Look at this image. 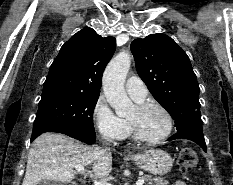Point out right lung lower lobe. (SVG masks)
<instances>
[{"mask_svg": "<svg viewBox=\"0 0 233 185\" xmlns=\"http://www.w3.org/2000/svg\"><path fill=\"white\" fill-rule=\"evenodd\" d=\"M68 136L78 139L84 143L92 144L96 141V136L85 133H69Z\"/></svg>", "mask_w": 233, "mask_h": 185, "instance_id": "right-lung-lower-lobe-1", "label": "right lung lower lobe"}]
</instances>
